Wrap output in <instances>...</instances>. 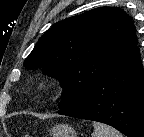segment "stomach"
Returning a JSON list of instances; mask_svg holds the SVG:
<instances>
[{"mask_svg":"<svg viewBox=\"0 0 144 137\" xmlns=\"http://www.w3.org/2000/svg\"><path fill=\"white\" fill-rule=\"evenodd\" d=\"M51 137H78L76 131L67 124H58L50 131Z\"/></svg>","mask_w":144,"mask_h":137,"instance_id":"1","label":"stomach"}]
</instances>
